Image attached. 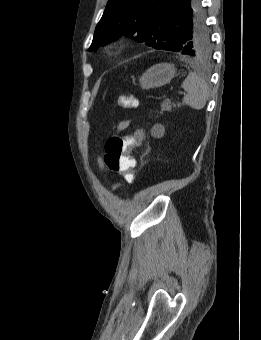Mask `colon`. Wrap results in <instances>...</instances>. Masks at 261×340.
I'll use <instances>...</instances> for the list:
<instances>
[{"instance_id": "obj_1", "label": "colon", "mask_w": 261, "mask_h": 340, "mask_svg": "<svg viewBox=\"0 0 261 340\" xmlns=\"http://www.w3.org/2000/svg\"><path fill=\"white\" fill-rule=\"evenodd\" d=\"M137 104L134 95L121 96L118 99V106L121 108H134ZM142 135V132L137 130L126 136L110 137L105 143L106 166L110 171L122 175L128 183H133L138 175L135 160L129 156V152L139 144Z\"/></svg>"}]
</instances>
